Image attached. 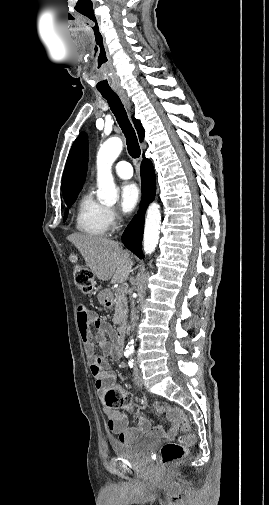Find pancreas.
I'll return each mask as SVG.
<instances>
[{
	"instance_id": "cf45deb5",
	"label": "pancreas",
	"mask_w": 269,
	"mask_h": 505,
	"mask_svg": "<svg viewBox=\"0 0 269 505\" xmlns=\"http://www.w3.org/2000/svg\"><path fill=\"white\" fill-rule=\"evenodd\" d=\"M127 320V299L125 291L122 290L118 292L115 290V313H114V324L121 325Z\"/></svg>"
}]
</instances>
